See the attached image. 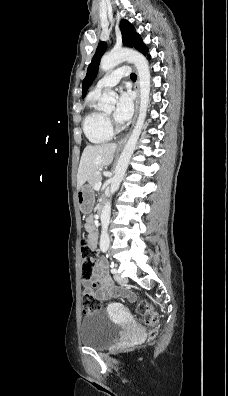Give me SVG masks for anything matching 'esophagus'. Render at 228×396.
<instances>
[{
  "label": "esophagus",
  "instance_id": "obj_1",
  "mask_svg": "<svg viewBox=\"0 0 228 396\" xmlns=\"http://www.w3.org/2000/svg\"><path fill=\"white\" fill-rule=\"evenodd\" d=\"M135 91L137 93V98H136V102H135V114H134L132 126L134 125V123L136 121L137 114H138V107H139L140 91H139V79L138 78H137V81L135 83ZM128 137H129V134H127L122 140H120L119 143H118V147L124 146V144L126 143Z\"/></svg>",
  "mask_w": 228,
  "mask_h": 396
}]
</instances>
